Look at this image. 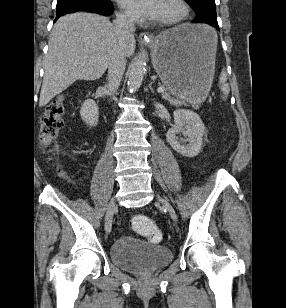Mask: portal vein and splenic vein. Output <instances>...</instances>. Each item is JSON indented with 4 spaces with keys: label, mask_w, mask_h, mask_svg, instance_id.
<instances>
[{
    "label": "portal vein and splenic vein",
    "mask_w": 286,
    "mask_h": 308,
    "mask_svg": "<svg viewBox=\"0 0 286 308\" xmlns=\"http://www.w3.org/2000/svg\"><path fill=\"white\" fill-rule=\"evenodd\" d=\"M165 91V88L164 87H159L157 88V92L158 93H163Z\"/></svg>",
    "instance_id": "1"
}]
</instances>
